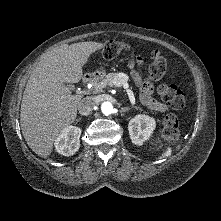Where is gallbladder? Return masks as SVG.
Returning <instances> with one entry per match:
<instances>
[{"mask_svg": "<svg viewBox=\"0 0 221 221\" xmlns=\"http://www.w3.org/2000/svg\"><path fill=\"white\" fill-rule=\"evenodd\" d=\"M67 87H68L69 89H73V88H74V86H73L72 84H67Z\"/></svg>", "mask_w": 221, "mask_h": 221, "instance_id": "bac80fb5", "label": "gallbladder"}]
</instances>
